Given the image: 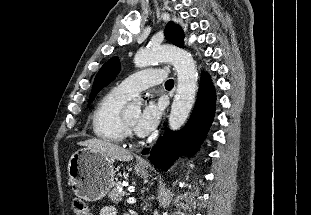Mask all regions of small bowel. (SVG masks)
<instances>
[{"mask_svg": "<svg viewBox=\"0 0 311 215\" xmlns=\"http://www.w3.org/2000/svg\"><path fill=\"white\" fill-rule=\"evenodd\" d=\"M100 215H116V210L112 206H107L101 210Z\"/></svg>", "mask_w": 311, "mask_h": 215, "instance_id": "small-bowel-1", "label": "small bowel"}]
</instances>
